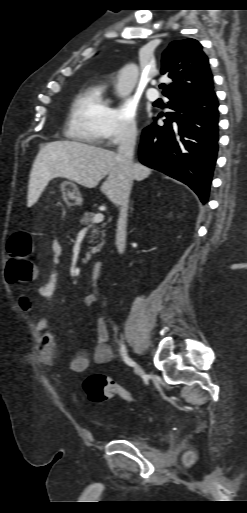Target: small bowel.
<instances>
[{"mask_svg":"<svg viewBox=\"0 0 247 513\" xmlns=\"http://www.w3.org/2000/svg\"><path fill=\"white\" fill-rule=\"evenodd\" d=\"M62 244L58 239H53L51 242V251L53 254V262L55 265L59 264L62 255ZM38 271L35 269L34 277L37 278ZM59 285V276L56 271H52L46 281L38 286V294L41 297H51L57 290ZM97 302V297L94 294H88L83 299V305L86 308L93 307ZM32 301L25 294L20 295V305L26 309H31ZM37 330L40 334V341L38 345V358L40 362L46 366L53 367L57 361V351L53 333L50 329V323L47 319H39L37 322ZM96 336L97 342L92 356L86 349H80L70 360L69 369L72 372L83 373L88 370L91 360L96 364H106L113 359V352L108 345V325L104 318H99L96 322Z\"/></svg>","mask_w":247,"mask_h":513,"instance_id":"obj_1","label":"small bowel"}]
</instances>
